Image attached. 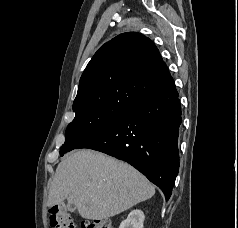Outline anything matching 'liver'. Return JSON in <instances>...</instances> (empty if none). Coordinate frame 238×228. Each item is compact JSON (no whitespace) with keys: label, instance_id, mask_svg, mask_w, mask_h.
Here are the masks:
<instances>
[{"label":"liver","instance_id":"liver-1","mask_svg":"<svg viewBox=\"0 0 238 228\" xmlns=\"http://www.w3.org/2000/svg\"><path fill=\"white\" fill-rule=\"evenodd\" d=\"M154 194V186L132 166L84 149L72 153L58 165L50 185L48 205L67 200L82 218L102 220Z\"/></svg>","mask_w":238,"mask_h":228}]
</instances>
